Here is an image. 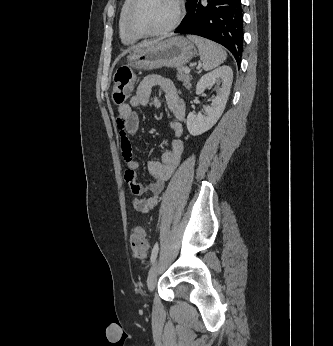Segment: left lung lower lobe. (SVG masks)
Listing matches in <instances>:
<instances>
[{"instance_id": "0a47b994", "label": "left lung lower lobe", "mask_w": 333, "mask_h": 346, "mask_svg": "<svg viewBox=\"0 0 333 346\" xmlns=\"http://www.w3.org/2000/svg\"><path fill=\"white\" fill-rule=\"evenodd\" d=\"M241 0H190L175 33L198 35L226 47L240 63L243 52Z\"/></svg>"}]
</instances>
